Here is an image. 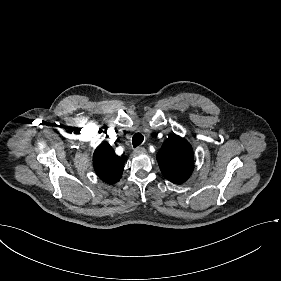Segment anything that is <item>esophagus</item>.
<instances>
[{
    "label": "esophagus",
    "mask_w": 281,
    "mask_h": 281,
    "mask_svg": "<svg viewBox=\"0 0 281 281\" xmlns=\"http://www.w3.org/2000/svg\"><path fill=\"white\" fill-rule=\"evenodd\" d=\"M134 152L137 153V154H145L146 149L144 147H138L134 150Z\"/></svg>",
    "instance_id": "34e87169"
}]
</instances>
